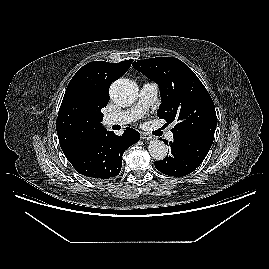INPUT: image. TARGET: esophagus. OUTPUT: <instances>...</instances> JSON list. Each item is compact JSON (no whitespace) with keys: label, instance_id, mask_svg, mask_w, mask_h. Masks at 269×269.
Listing matches in <instances>:
<instances>
[{"label":"esophagus","instance_id":"34e87169","mask_svg":"<svg viewBox=\"0 0 269 269\" xmlns=\"http://www.w3.org/2000/svg\"><path fill=\"white\" fill-rule=\"evenodd\" d=\"M141 138L144 140H151L152 136L147 133H141Z\"/></svg>","mask_w":269,"mask_h":269}]
</instances>
